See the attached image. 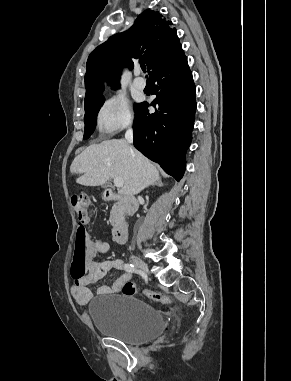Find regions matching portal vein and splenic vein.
<instances>
[{"instance_id":"1","label":"portal vein and splenic vein","mask_w":291,"mask_h":381,"mask_svg":"<svg viewBox=\"0 0 291 381\" xmlns=\"http://www.w3.org/2000/svg\"><path fill=\"white\" fill-rule=\"evenodd\" d=\"M123 184H124V181H123L122 178H119V177H115V178H114V185H115L116 187H122Z\"/></svg>"}]
</instances>
